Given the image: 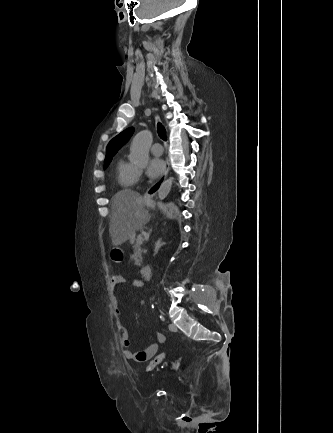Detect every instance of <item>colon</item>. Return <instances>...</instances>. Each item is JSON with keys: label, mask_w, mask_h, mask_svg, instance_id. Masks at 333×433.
I'll list each match as a JSON object with an SVG mask.
<instances>
[{"label": "colon", "mask_w": 333, "mask_h": 433, "mask_svg": "<svg viewBox=\"0 0 333 433\" xmlns=\"http://www.w3.org/2000/svg\"><path fill=\"white\" fill-rule=\"evenodd\" d=\"M112 255V263L113 265H122L123 258H122V252L120 249H113L111 252ZM166 357L165 355L161 354L156 356L154 359L151 360L149 365L147 366V371H152L155 369L159 364L163 363L165 361Z\"/></svg>", "instance_id": "colon-1"}]
</instances>
